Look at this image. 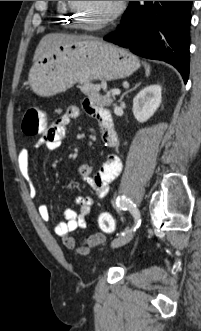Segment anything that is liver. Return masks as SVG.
Segmentation results:
<instances>
[{"label":"liver","mask_w":201,"mask_h":331,"mask_svg":"<svg viewBox=\"0 0 201 331\" xmlns=\"http://www.w3.org/2000/svg\"><path fill=\"white\" fill-rule=\"evenodd\" d=\"M86 39H94L92 36L87 35H69L63 33H51L45 35L39 42L33 60L36 61L45 53L63 43L75 42Z\"/></svg>","instance_id":"1"}]
</instances>
